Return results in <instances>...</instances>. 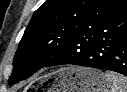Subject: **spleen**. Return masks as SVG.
<instances>
[{
	"mask_svg": "<svg viewBox=\"0 0 127 92\" xmlns=\"http://www.w3.org/2000/svg\"><path fill=\"white\" fill-rule=\"evenodd\" d=\"M105 77L111 84L109 92H127V77L107 71Z\"/></svg>",
	"mask_w": 127,
	"mask_h": 92,
	"instance_id": "spleen-1",
	"label": "spleen"
}]
</instances>
